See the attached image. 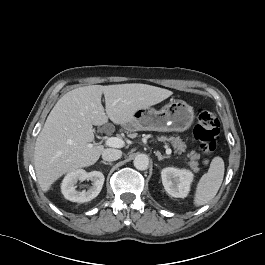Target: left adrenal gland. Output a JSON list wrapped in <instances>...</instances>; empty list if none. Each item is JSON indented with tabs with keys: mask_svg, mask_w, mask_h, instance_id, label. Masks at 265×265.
Returning <instances> with one entry per match:
<instances>
[{
	"mask_svg": "<svg viewBox=\"0 0 265 265\" xmlns=\"http://www.w3.org/2000/svg\"><path fill=\"white\" fill-rule=\"evenodd\" d=\"M155 154H156V156L158 157V160H159V161H161V160H163V159L170 158V156H162V154H161L159 151L155 152Z\"/></svg>",
	"mask_w": 265,
	"mask_h": 265,
	"instance_id": "left-adrenal-gland-1",
	"label": "left adrenal gland"
}]
</instances>
